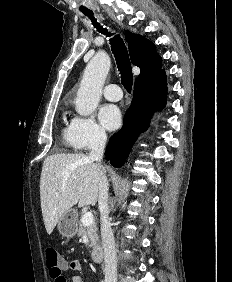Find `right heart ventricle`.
<instances>
[{
  "label": "right heart ventricle",
  "mask_w": 232,
  "mask_h": 282,
  "mask_svg": "<svg viewBox=\"0 0 232 282\" xmlns=\"http://www.w3.org/2000/svg\"><path fill=\"white\" fill-rule=\"evenodd\" d=\"M62 142L66 147H74L70 134V124H65L61 129Z\"/></svg>",
  "instance_id": "obj_1"
}]
</instances>
